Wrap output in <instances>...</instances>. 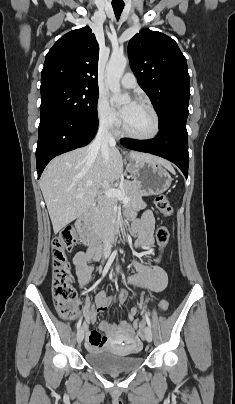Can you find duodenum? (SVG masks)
Listing matches in <instances>:
<instances>
[{
    "label": "duodenum",
    "instance_id": "duodenum-1",
    "mask_svg": "<svg viewBox=\"0 0 235 404\" xmlns=\"http://www.w3.org/2000/svg\"><path fill=\"white\" fill-rule=\"evenodd\" d=\"M76 227L84 240L97 252V254L95 253V258L99 257L98 254L101 253L104 242L113 243L118 238V235L107 236L104 239L95 235L92 230V212H87L79 217L76 221Z\"/></svg>",
    "mask_w": 235,
    "mask_h": 404
}]
</instances>
